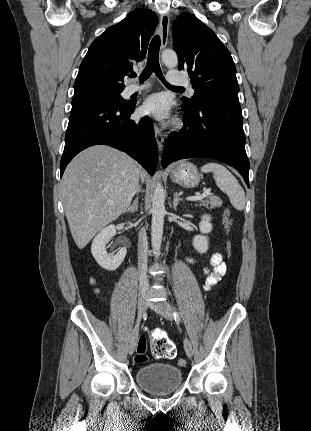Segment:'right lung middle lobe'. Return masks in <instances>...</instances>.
<instances>
[{
  "instance_id": "dd1d6c3e",
  "label": "right lung middle lobe",
  "mask_w": 311,
  "mask_h": 431,
  "mask_svg": "<svg viewBox=\"0 0 311 431\" xmlns=\"http://www.w3.org/2000/svg\"><path fill=\"white\" fill-rule=\"evenodd\" d=\"M121 92H88L76 94L72 99V107L87 104V103H108L118 106H129L130 101H125L121 96Z\"/></svg>"
}]
</instances>
